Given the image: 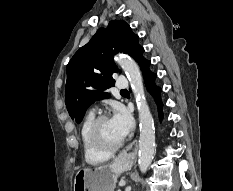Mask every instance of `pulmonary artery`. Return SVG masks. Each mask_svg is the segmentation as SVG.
Returning a JSON list of instances; mask_svg holds the SVG:
<instances>
[{
    "label": "pulmonary artery",
    "mask_w": 233,
    "mask_h": 191,
    "mask_svg": "<svg viewBox=\"0 0 233 191\" xmlns=\"http://www.w3.org/2000/svg\"><path fill=\"white\" fill-rule=\"evenodd\" d=\"M116 87L119 89H124V88L128 87V81H127L126 77L119 76L116 80Z\"/></svg>",
    "instance_id": "obj_1"
}]
</instances>
